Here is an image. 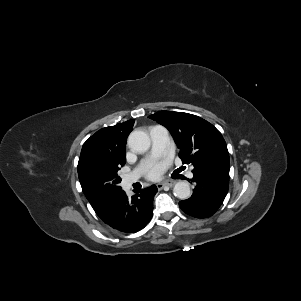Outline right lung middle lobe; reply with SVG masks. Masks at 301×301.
I'll use <instances>...</instances> for the list:
<instances>
[{
  "instance_id": "1",
  "label": "right lung middle lobe",
  "mask_w": 301,
  "mask_h": 301,
  "mask_svg": "<svg viewBox=\"0 0 301 301\" xmlns=\"http://www.w3.org/2000/svg\"><path fill=\"white\" fill-rule=\"evenodd\" d=\"M126 160L90 155L78 163L82 190L94 209L109 208L123 191L117 172Z\"/></svg>"
}]
</instances>
